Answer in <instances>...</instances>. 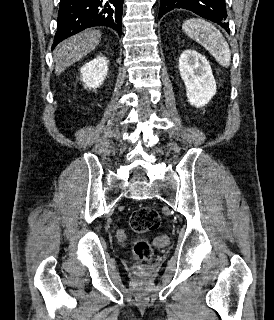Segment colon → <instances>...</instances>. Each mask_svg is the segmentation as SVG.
Returning a JSON list of instances; mask_svg holds the SVG:
<instances>
[{"instance_id": "colon-1", "label": "colon", "mask_w": 274, "mask_h": 320, "mask_svg": "<svg viewBox=\"0 0 274 320\" xmlns=\"http://www.w3.org/2000/svg\"><path fill=\"white\" fill-rule=\"evenodd\" d=\"M161 221L159 213L149 206H139L129 217L131 230L138 235L147 234L156 229ZM133 253L139 269H148L152 258V250L148 243L139 241L135 244Z\"/></svg>"}]
</instances>
